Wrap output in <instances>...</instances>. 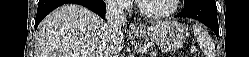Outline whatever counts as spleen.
<instances>
[{
    "mask_svg": "<svg viewBox=\"0 0 249 57\" xmlns=\"http://www.w3.org/2000/svg\"><path fill=\"white\" fill-rule=\"evenodd\" d=\"M193 31L201 48H205L207 45H209V36L202 27H200L198 24H193ZM204 54L206 55V57H215L210 50H205Z\"/></svg>",
    "mask_w": 249,
    "mask_h": 57,
    "instance_id": "obj_1",
    "label": "spleen"
}]
</instances>
